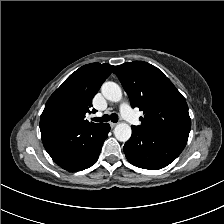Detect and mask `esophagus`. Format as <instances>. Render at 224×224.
I'll return each mask as SVG.
<instances>
[{"label": "esophagus", "instance_id": "34e87169", "mask_svg": "<svg viewBox=\"0 0 224 224\" xmlns=\"http://www.w3.org/2000/svg\"><path fill=\"white\" fill-rule=\"evenodd\" d=\"M109 124H110L111 128H114L117 125V123H114V122H110Z\"/></svg>", "mask_w": 224, "mask_h": 224}]
</instances>
